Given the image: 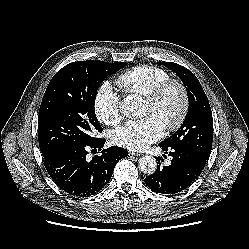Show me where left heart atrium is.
Wrapping results in <instances>:
<instances>
[{"mask_svg":"<svg viewBox=\"0 0 249 249\" xmlns=\"http://www.w3.org/2000/svg\"><path fill=\"white\" fill-rule=\"evenodd\" d=\"M165 126L154 115L142 119L131 120L112 132L114 144L131 150H143L149 144L160 139Z\"/></svg>","mask_w":249,"mask_h":249,"instance_id":"1","label":"left heart atrium"}]
</instances>
